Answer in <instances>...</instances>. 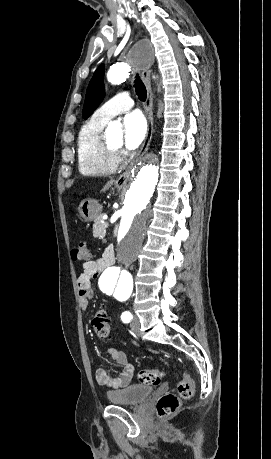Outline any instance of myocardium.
<instances>
[{
  "mask_svg": "<svg viewBox=\"0 0 271 459\" xmlns=\"http://www.w3.org/2000/svg\"><path fill=\"white\" fill-rule=\"evenodd\" d=\"M104 147L109 155L113 157H117L121 154L123 148L122 146H114L112 145L106 138H102Z\"/></svg>",
  "mask_w": 271,
  "mask_h": 459,
  "instance_id": "1",
  "label": "myocardium"
}]
</instances>
